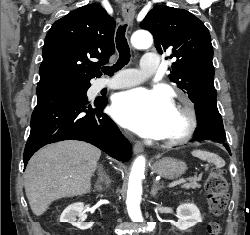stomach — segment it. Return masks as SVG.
Listing matches in <instances>:
<instances>
[{
	"instance_id": "0dacf381",
	"label": "stomach",
	"mask_w": 250,
	"mask_h": 235,
	"mask_svg": "<svg viewBox=\"0 0 250 235\" xmlns=\"http://www.w3.org/2000/svg\"><path fill=\"white\" fill-rule=\"evenodd\" d=\"M152 169L159 176L175 179L186 172L187 165L183 161L165 157L154 163Z\"/></svg>"
}]
</instances>
